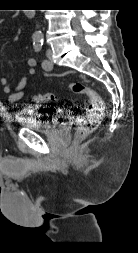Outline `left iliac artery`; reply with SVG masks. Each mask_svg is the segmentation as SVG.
Returning <instances> with one entry per match:
<instances>
[{
  "label": "left iliac artery",
  "mask_w": 138,
  "mask_h": 253,
  "mask_svg": "<svg viewBox=\"0 0 138 253\" xmlns=\"http://www.w3.org/2000/svg\"><path fill=\"white\" fill-rule=\"evenodd\" d=\"M34 49L36 52H40L41 49H42V46H43V40H36L34 41ZM50 64H49V61L44 59L42 61V68L45 69V70H48Z\"/></svg>",
  "instance_id": "44dca946"
}]
</instances>
